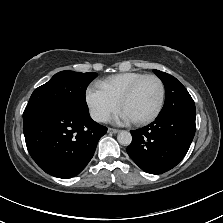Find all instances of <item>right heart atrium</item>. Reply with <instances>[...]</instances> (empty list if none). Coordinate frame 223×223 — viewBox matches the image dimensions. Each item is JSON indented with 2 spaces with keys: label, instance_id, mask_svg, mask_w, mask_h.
<instances>
[{
  "label": "right heart atrium",
  "instance_id": "d8ad5b80",
  "mask_svg": "<svg viewBox=\"0 0 223 223\" xmlns=\"http://www.w3.org/2000/svg\"><path fill=\"white\" fill-rule=\"evenodd\" d=\"M84 96L91 117L98 122L106 121L119 106V100L115 99L99 81L89 84Z\"/></svg>",
  "mask_w": 223,
  "mask_h": 223
}]
</instances>
